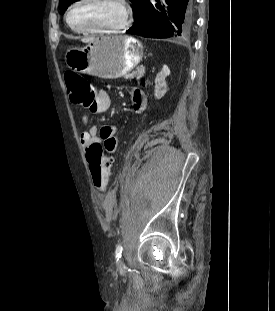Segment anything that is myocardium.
<instances>
[{"mask_svg": "<svg viewBox=\"0 0 275 311\" xmlns=\"http://www.w3.org/2000/svg\"><path fill=\"white\" fill-rule=\"evenodd\" d=\"M84 1L85 0H75L68 7V9L65 12L66 24L73 31L80 32V33L107 34V33L119 32L127 26L129 19H130L131 11H130L129 5L127 4L126 0H114L116 3L119 4V6L121 8V12H122L121 20L116 25L108 26V27H100V28H81V27L73 26L69 20L70 13L78 4H80Z\"/></svg>", "mask_w": 275, "mask_h": 311, "instance_id": "f54148a6", "label": "myocardium"}]
</instances>
